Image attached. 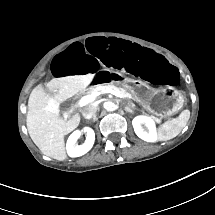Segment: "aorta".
Instances as JSON below:
<instances>
[{"instance_id":"obj_1","label":"aorta","mask_w":215,"mask_h":215,"mask_svg":"<svg viewBox=\"0 0 215 215\" xmlns=\"http://www.w3.org/2000/svg\"><path fill=\"white\" fill-rule=\"evenodd\" d=\"M105 109L107 111H114L117 109V107H116L115 103H113V102H106Z\"/></svg>"}]
</instances>
